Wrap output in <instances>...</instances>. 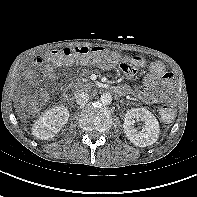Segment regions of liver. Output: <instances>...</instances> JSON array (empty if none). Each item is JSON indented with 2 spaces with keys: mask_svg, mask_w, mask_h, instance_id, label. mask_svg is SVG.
<instances>
[{
  "mask_svg": "<svg viewBox=\"0 0 197 197\" xmlns=\"http://www.w3.org/2000/svg\"><path fill=\"white\" fill-rule=\"evenodd\" d=\"M25 104V99L21 100V105L24 106Z\"/></svg>",
  "mask_w": 197,
  "mask_h": 197,
  "instance_id": "liver-1",
  "label": "liver"
}]
</instances>
